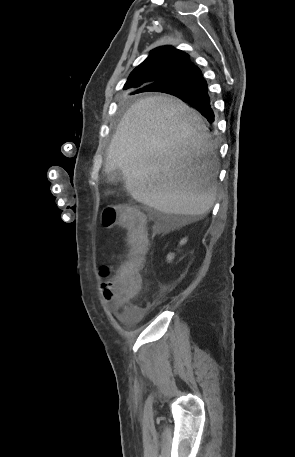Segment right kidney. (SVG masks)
Instances as JSON below:
<instances>
[{"instance_id": "right-kidney-1", "label": "right kidney", "mask_w": 295, "mask_h": 457, "mask_svg": "<svg viewBox=\"0 0 295 457\" xmlns=\"http://www.w3.org/2000/svg\"><path fill=\"white\" fill-rule=\"evenodd\" d=\"M186 241H187L186 239H183V240H181L180 244L182 245V244L186 243ZM173 258H174V254H169V255L167 256V259H168L169 261H171Z\"/></svg>"}]
</instances>
